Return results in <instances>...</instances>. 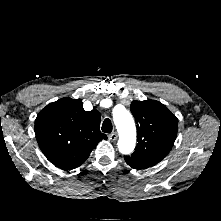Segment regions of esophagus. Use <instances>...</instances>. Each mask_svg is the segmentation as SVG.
<instances>
[{"instance_id":"esophagus-1","label":"esophagus","mask_w":221,"mask_h":221,"mask_svg":"<svg viewBox=\"0 0 221 221\" xmlns=\"http://www.w3.org/2000/svg\"><path fill=\"white\" fill-rule=\"evenodd\" d=\"M118 138V134L116 132H112L108 135V140L109 141H116Z\"/></svg>"}]
</instances>
